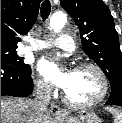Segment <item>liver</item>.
<instances>
[{
  "instance_id": "1",
  "label": "liver",
  "mask_w": 122,
  "mask_h": 123,
  "mask_svg": "<svg viewBox=\"0 0 122 123\" xmlns=\"http://www.w3.org/2000/svg\"><path fill=\"white\" fill-rule=\"evenodd\" d=\"M49 115L38 116L32 100L1 97V123H48Z\"/></svg>"
}]
</instances>
